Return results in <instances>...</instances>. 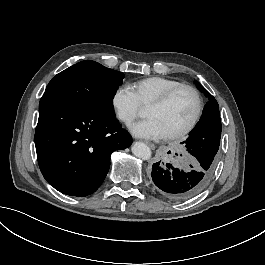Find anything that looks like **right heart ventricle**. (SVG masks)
Returning <instances> with one entry per match:
<instances>
[{
	"instance_id": "obj_1",
	"label": "right heart ventricle",
	"mask_w": 265,
	"mask_h": 265,
	"mask_svg": "<svg viewBox=\"0 0 265 265\" xmlns=\"http://www.w3.org/2000/svg\"><path fill=\"white\" fill-rule=\"evenodd\" d=\"M183 85L182 82L161 76H152L135 81L131 88L135 93L139 104L147 107L168 91Z\"/></svg>"
}]
</instances>
